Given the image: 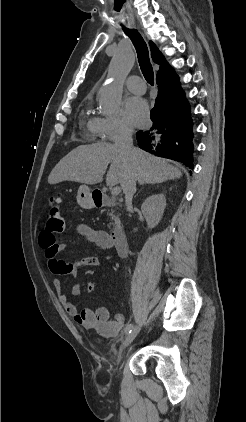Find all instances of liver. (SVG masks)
<instances>
[{
	"mask_svg": "<svg viewBox=\"0 0 246 422\" xmlns=\"http://www.w3.org/2000/svg\"><path fill=\"white\" fill-rule=\"evenodd\" d=\"M134 150L133 163L140 184L162 183L182 176L177 167L165 160L138 148H134ZM109 164L111 165L106 176V184L108 186L120 184L123 188L130 162L115 145L110 143L78 146L54 167L48 177V183L74 181L94 185L102 180Z\"/></svg>",
	"mask_w": 246,
	"mask_h": 422,
	"instance_id": "liver-1",
	"label": "liver"
}]
</instances>
